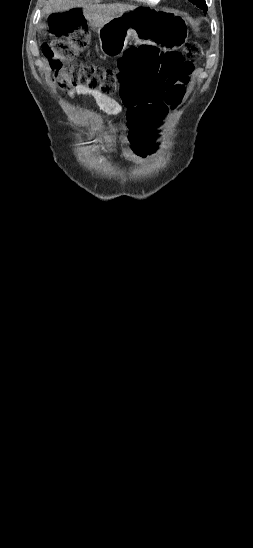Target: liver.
Wrapping results in <instances>:
<instances>
[{
  "label": "liver",
  "instance_id": "1",
  "mask_svg": "<svg viewBox=\"0 0 253 548\" xmlns=\"http://www.w3.org/2000/svg\"><path fill=\"white\" fill-rule=\"evenodd\" d=\"M74 8H82L83 15L94 29H100L113 18L136 9L134 5L121 3L92 4L87 0H48L43 12L51 14L58 11H68Z\"/></svg>",
  "mask_w": 253,
  "mask_h": 548
}]
</instances>
